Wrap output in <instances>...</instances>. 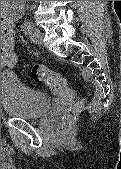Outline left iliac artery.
I'll return each mask as SVG.
<instances>
[{"label": "left iliac artery", "instance_id": "left-iliac-artery-1", "mask_svg": "<svg viewBox=\"0 0 121 169\" xmlns=\"http://www.w3.org/2000/svg\"><path fill=\"white\" fill-rule=\"evenodd\" d=\"M33 28V24L30 21H25L22 24L21 30L23 31V33L25 34H29L30 30Z\"/></svg>", "mask_w": 121, "mask_h": 169}]
</instances>
